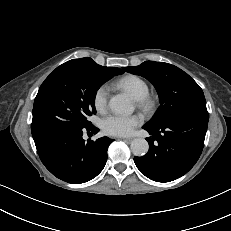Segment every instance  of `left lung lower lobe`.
I'll return each instance as SVG.
<instances>
[{"label":"left lung lower lobe","instance_id":"obj_1","mask_svg":"<svg viewBox=\"0 0 231 231\" xmlns=\"http://www.w3.org/2000/svg\"><path fill=\"white\" fill-rule=\"evenodd\" d=\"M207 110L179 114L157 125H144L149 151L134 157L142 174L156 182H170L186 174L199 159L207 131ZM156 141V142H154Z\"/></svg>","mask_w":231,"mask_h":231}]
</instances>
